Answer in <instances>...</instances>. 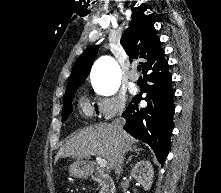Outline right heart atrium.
Masks as SVG:
<instances>
[{
    "label": "right heart atrium",
    "mask_w": 221,
    "mask_h": 193,
    "mask_svg": "<svg viewBox=\"0 0 221 193\" xmlns=\"http://www.w3.org/2000/svg\"><path fill=\"white\" fill-rule=\"evenodd\" d=\"M98 116L103 120H110L122 114L126 108V97L121 93H113L109 96H100L95 102Z\"/></svg>",
    "instance_id": "right-heart-atrium-1"
}]
</instances>
